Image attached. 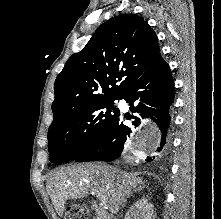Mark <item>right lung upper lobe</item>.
I'll list each match as a JSON object with an SVG mask.
<instances>
[{"label":"right lung upper lobe","mask_w":221,"mask_h":219,"mask_svg":"<svg viewBox=\"0 0 221 219\" xmlns=\"http://www.w3.org/2000/svg\"><path fill=\"white\" fill-rule=\"evenodd\" d=\"M160 56L156 33L142 17H112L68 59L57 76L53 122L83 105L120 99Z\"/></svg>","instance_id":"cb5924a9"}]
</instances>
